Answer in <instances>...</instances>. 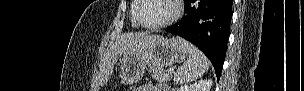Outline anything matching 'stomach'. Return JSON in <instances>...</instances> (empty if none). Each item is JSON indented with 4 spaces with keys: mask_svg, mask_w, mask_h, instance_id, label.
<instances>
[{
    "mask_svg": "<svg viewBox=\"0 0 304 91\" xmlns=\"http://www.w3.org/2000/svg\"><path fill=\"white\" fill-rule=\"evenodd\" d=\"M187 54L179 39L154 36L143 48L123 54L119 60L120 77L123 83L134 84L143 77L147 67L163 69L183 62Z\"/></svg>",
    "mask_w": 304,
    "mask_h": 91,
    "instance_id": "0dacf381",
    "label": "stomach"
}]
</instances>
